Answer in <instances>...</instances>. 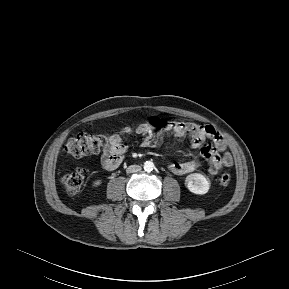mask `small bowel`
<instances>
[{
	"mask_svg": "<svg viewBox=\"0 0 289 289\" xmlns=\"http://www.w3.org/2000/svg\"><path fill=\"white\" fill-rule=\"evenodd\" d=\"M172 131L174 140L181 142L185 136L191 139L189 148L194 151L202 150V155L208 163V175L214 177L223 167H231L233 159L227 150L226 143L222 136L210 125L200 124L192 121L175 120ZM144 123L136 128V132L144 136L142 146L150 147L153 143V135L156 132H148ZM160 130V129H158ZM157 130V131H158ZM132 129L128 126L122 127L118 133L109 137L108 144L102 150L101 165L104 170H115L123 161L127 152L124 138L130 135ZM207 140H211L212 146H205ZM200 165L196 159L174 162L169 169L178 175L187 174Z\"/></svg>",
	"mask_w": 289,
	"mask_h": 289,
	"instance_id": "1",
	"label": "small bowel"
}]
</instances>
